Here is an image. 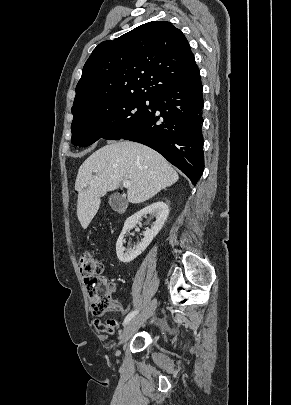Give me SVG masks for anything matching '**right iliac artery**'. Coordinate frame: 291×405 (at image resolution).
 <instances>
[{
  "mask_svg": "<svg viewBox=\"0 0 291 405\" xmlns=\"http://www.w3.org/2000/svg\"><path fill=\"white\" fill-rule=\"evenodd\" d=\"M137 313H138V310H135V311L130 312V313L126 316V318H125V320H124V324H127L131 319H133Z\"/></svg>",
  "mask_w": 291,
  "mask_h": 405,
  "instance_id": "1",
  "label": "right iliac artery"
}]
</instances>
